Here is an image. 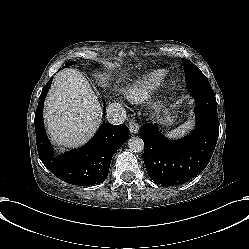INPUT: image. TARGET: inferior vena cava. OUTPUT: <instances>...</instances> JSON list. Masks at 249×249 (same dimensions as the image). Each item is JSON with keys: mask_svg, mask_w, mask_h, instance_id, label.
Returning <instances> with one entry per match:
<instances>
[{"mask_svg": "<svg viewBox=\"0 0 249 249\" xmlns=\"http://www.w3.org/2000/svg\"><path fill=\"white\" fill-rule=\"evenodd\" d=\"M126 110L119 103H111L107 106L106 118L107 121L114 125H119L124 123L126 120Z\"/></svg>", "mask_w": 249, "mask_h": 249, "instance_id": "obj_1", "label": "inferior vena cava"}]
</instances>
